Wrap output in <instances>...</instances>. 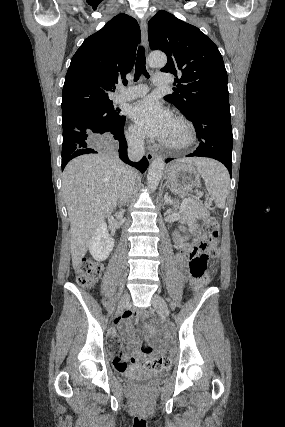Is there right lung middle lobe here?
Listing matches in <instances>:
<instances>
[{
	"label": "right lung middle lobe",
	"mask_w": 285,
	"mask_h": 427,
	"mask_svg": "<svg viewBox=\"0 0 285 427\" xmlns=\"http://www.w3.org/2000/svg\"><path fill=\"white\" fill-rule=\"evenodd\" d=\"M124 119L125 117L120 115L118 110H114L112 102L62 116L63 143H73L74 140L69 138V133L72 129L79 127L87 128L96 135L105 133L109 138V134H115Z\"/></svg>",
	"instance_id": "right-lung-middle-lobe-1"
}]
</instances>
